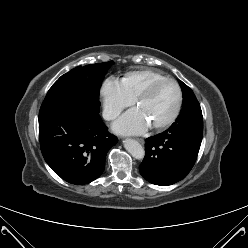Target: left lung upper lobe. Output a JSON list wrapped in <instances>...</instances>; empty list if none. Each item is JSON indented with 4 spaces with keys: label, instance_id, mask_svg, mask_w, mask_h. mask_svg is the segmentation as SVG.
<instances>
[{
    "label": "left lung upper lobe",
    "instance_id": "obj_1",
    "mask_svg": "<svg viewBox=\"0 0 248 248\" xmlns=\"http://www.w3.org/2000/svg\"><path fill=\"white\" fill-rule=\"evenodd\" d=\"M179 84L183 92L184 105L180 115L178 116L176 121L172 124V126L178 124H186L190 122H202L203 116H202L201 107L195 94L181 80H179Z\"/></svg>",
    "mask_w": 248,
    "mask_h": 248
}]
</instances>
